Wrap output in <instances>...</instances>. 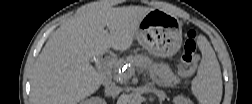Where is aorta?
Segmentation results:
<instances>
[{"label": "aorta", "instance_id": "1", "mask_svg": "<svg viewBox=\"0 0 252 104\" xmlns=\"http://www.w3.org/2000/svg\"><path fill=\"white\" fill-rule=\"evenodd\" d=\"M127 103L129 104H139L141 102V96L137 93L127 95Z\"/></svg>", "mask_w": 252, "mask_h": 104}]
</instances>
